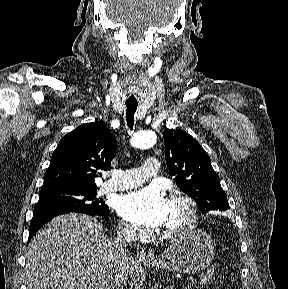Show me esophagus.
Masks as SVG:
<instances>
[{
    "mask_svg": "<svg viewBox=\"0 0 288 289\" xmlns=\"http://www.w3.org/2000/svg\"><path fill=\"white\" fill-rule=\"evenodd\" d=\"M137 257L140 261H148L152 259V254L149 253L148 251L142 249L138 251Z\"/></svg>",
    "mask_w": 288,
    "mask_h": 289,
    "instance_id": "esophagus-1",
    "label": "esophagus"
}]
</instances>
